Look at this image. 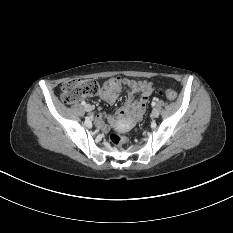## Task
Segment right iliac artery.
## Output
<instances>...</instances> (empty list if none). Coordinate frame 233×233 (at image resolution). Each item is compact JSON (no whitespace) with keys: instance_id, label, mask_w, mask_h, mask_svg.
Here are the masks:
<instances>
[{"instance_id":"right-iliac-artery-1","label":"right iliac artery","mask_w":233,"mask_h":233,"mask_svg":"<svg viewBox=\"0 0 233 233\" xmlns=\"http://www.w3.org/2000/svg\"><path fill=\"white\" fill-rule=\"evenodd\" d=\"M81 104H82V105H85V104H86V102H85V101H82V102H81Z\"/></svg>"}]
</instances>
